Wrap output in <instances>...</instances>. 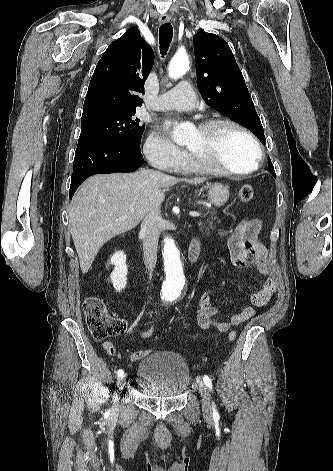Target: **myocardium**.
Listing matches in <instances>:
<instances>
[{
    "label": "myocardium",
    "mask_w": 333,
    "mask_h": 471,
    "mask_svg": "<svg viewBox=\"0 0 333 471\" xmlns=\"http://www.w3.org/2000/svg\"><path fill=\"white\" fill-rule=\"evenodd\" d=\"M220 126L233 127L235 129L239 130L240 132H242L245 136H247V138L254 145L256 153H257L255 165L253 167L247 169V170H242V171L233 170V169H230V168L225 167L223 165L215 163L206 154L196 153V152H193V151L188 149L189 161L193 165H195V166H197V167H199V168H201V169H203V170H205L209 173H215V174L243 176V175L251 174V173L255 172L257 169H259V167L261 165V161L263 159L262 147H261L258 139L255 137V135L247 127H245L241 123H239L235 120H232V119H228V118H213V119H207V120L202 121L198 125L197 129L200 132L204 133V134H208L212 130H214L215 128L220 127Z\"/></svg>",
    "instance_id": "obj_1"
}]
</instances>
